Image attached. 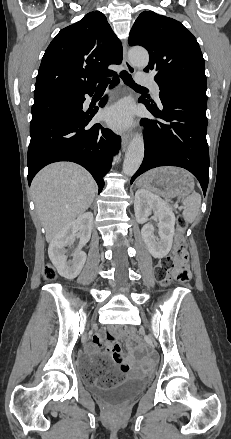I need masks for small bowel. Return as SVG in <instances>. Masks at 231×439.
<instances>
[{
  "label": "small bowel",
  "mask_w": 231,
  "mask_h": 439,
  "mask_svg": "<svg viewBox=\"0 0 231 439\" xmlns=\"http://www.w3.org/2000/svg\"><path fill=\"white\" fill-rule=\"evenodd\" d=\"M118 334L116 330H111L105 336L98 333L94 336L92 344L88 347L87 352L90 356L102 355V361L104 362L105 367L111 369L114 367V364L117 365H125L127 367H135V361L133 357L128 356L125 357L122 353V347L117 341ZM106 342L108 351L111 354V359L106 356V353H100L99 346ZM134 374H142L143 371L141 369L134 368Z\"/></svg>",
  "instance_id": "1"
}]
</instances>
